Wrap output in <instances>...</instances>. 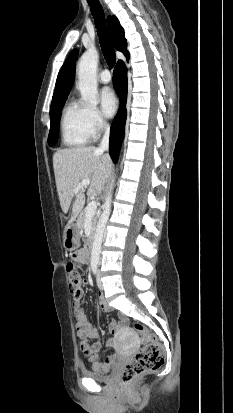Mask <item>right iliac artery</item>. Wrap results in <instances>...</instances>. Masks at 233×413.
Wrapping results in <instances>:
<instances>
[{
  "label": "right iliac artery",
  "mask_w": 233,
  "mask_h": 413,
  "mask_svg": "<svg viewBox=\"0 0 233 413\" xmlns=\"http://www.w3.org/2000/svg\"><path fill=\"white\" fill-rule=\"evenodd\" d=\"M92 271L95 275L97 274V266L96 265H92Z\"/></svg>",
  "instance_id": "1"
}]
</instances>
